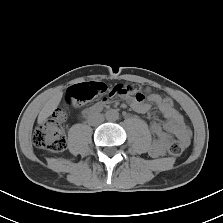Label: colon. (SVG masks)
Returning <instances> with one entry per match:
<instances>
[{
    "instance_id": "1",
    "label": "colon",
    "mask_w": 223,
    "mask_h": 223,
    "mask_svg": "<svg viewBox=\"0 0 223 223\" xmlns=\"http://www.w3.org/2000/svg\"><path fill=\"white\" fill-rule=\"evenodd\" d=\"M105 91L106 86L101 82L79 83L68 88L66 97L72 103H85L102 95ZM111 93L113 96H133L138 100H143L150 90L135 83H119L114 86ZM163 105L173 108L176 100L172 96H165ZM65 119L66 113L63 110H56L49 120L38 126L33 134L35 146L51 152L63 151L67 140L61 124ZM168 150L171 155L179 157L184 147L178 140H175L170 143Z\"/></svg>"
}]
</instances>
